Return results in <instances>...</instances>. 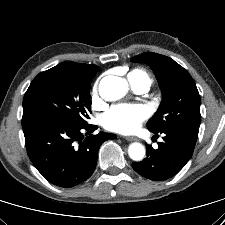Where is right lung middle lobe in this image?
Masks as SVG:
<instances>
[{
  "label": "right lung middle lobe",
  "mask_w": 225,
  "mask_h": 225,
  "mask_svg": "<svg viewBox=\"0 0 225 225\" xmlns=\"http://www.w3.org/2000/svg\"><path fill=\"white\" fill-rule=\"evenodd\" d=\"M96 72L97 66L63 62L39 73L24 95L23 117L40 114L76 126L87 124L89 89Z\"/></svg>",
  "instance_id": "obj_1"
}]
</instances>
